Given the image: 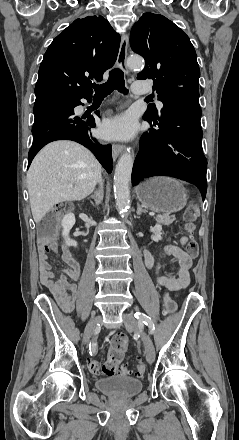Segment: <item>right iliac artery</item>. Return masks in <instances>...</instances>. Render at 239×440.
<instances>
[{
  "label": "right iliac artery",
  "mask_w": 239,
  "mask_h": 440,
  "mask_svg": "<svg viewBox=\"0 0 239 440\" xmlns=\"http://www.w3.org/2000/svg\"><path fill=\"white\" fill-rule=\"evenodd\" d=\"M97 353V344L95 342H92L90 344V354L95 355Z\"/></svg>",
  "instance_id": "82829eb1"
}]
</instances>
